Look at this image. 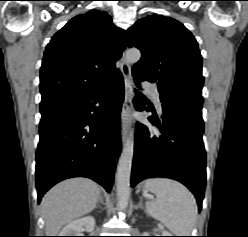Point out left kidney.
I'll use <instances>...</instances> for the list:
<instances>
[{
  "mask_svg": "<svg viewBox=\"0 0 248 237\" xmlns=\"http://www.w3.org/2000/svg\"><path fill=\"white\" fill-rule=\"evenodd\" d=\"M155 231H159V229H155ZM162 236H172V234H170L168 231L162 230L161 231Z\"/></svg>",
  "mask_w": 248,
  "mask_h": 237,
  "instance_id": "5707ae66",
  "label": "left kidney"
}]
</instances>
